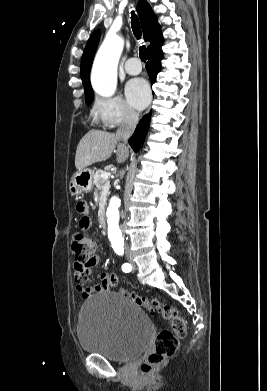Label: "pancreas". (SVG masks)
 <instances>
[{"instance_id":"1","label":"pancreas","mask_w":267,"mask_h":391,"mask_svg":"<svg viewBox=\"0 0 267 391\" xmlns=\"http://www.w3.org/2000/svg\"><path fill=\"white\" fill-rule=\"evenodd\" d=\"M105 173L103 170H97L94 175H93V183L96 185L98 189H101L104 184L109 186V180L108 179H103L101 175Z\"/></svg>"}]
</instances>
